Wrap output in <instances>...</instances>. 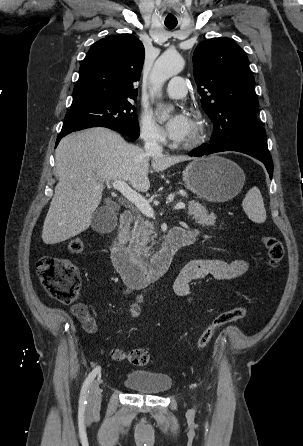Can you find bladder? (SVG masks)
I'll list each match as a JSON object with an SVG mask.
<instances>
[{
  "instance_id": "obj_1",
  "label": "bladder",
  "mask_w": 303,
  "mask_h": 446,
  "mask_svg": "<svg viewBox=\"0 0 303 446\" xmlns=\"http://www.w3.org/2000/svg\"><path fill=\"white\" fill-rule=\"evenodd\" d=\"M124 385L140 393L163 394L172 388V379L165 373L137 369L126 375Z\"/></svg>"
}]
</instances>
